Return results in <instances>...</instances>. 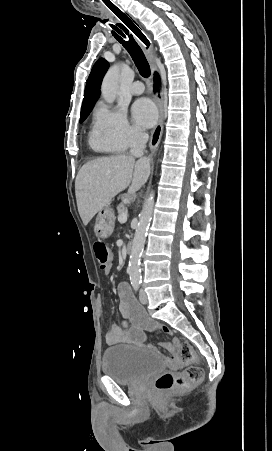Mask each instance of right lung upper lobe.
<instances>
[{"mask_svg":"<svg viewBox=\"0 0 272 451\" xmlns=\"http://www.w3.org/2000/svg\"><path fill=\"white\" fill-rule=\"evenodd\" d=\"M109 67V63L101 58L93 66L87 80L82 108H93L99 98L102 79Z\"/></svg>","mask_w":272,"mask_h":451,"instance_id":"obj_1","label":"right lung upper lobe"}]
</instances>
